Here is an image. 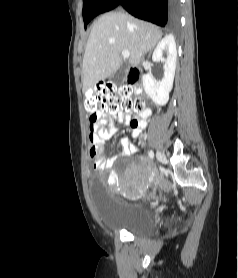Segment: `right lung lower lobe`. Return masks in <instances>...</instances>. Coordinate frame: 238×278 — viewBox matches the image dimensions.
I'll return each mask as SVG.
<instances>
[{
  "instance_id": "right-lung-lower-lobe-1",
  "label": "right lung lower lobe",
  "mask_w": 238,
  "mask_h": 278,
  "mask_svg": "<svg viewBox=\"0 0 238 278\" xmlns=\"http://www.w3.org/2000/svg\"><path fill=\"white\" fill-rule=\"evenodd\" d=\"M117 6H122L137 18L159 26H173L179 19V0H104L95 11L94 17Z\"/></svg>"
}]
</instances>
